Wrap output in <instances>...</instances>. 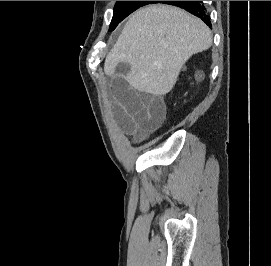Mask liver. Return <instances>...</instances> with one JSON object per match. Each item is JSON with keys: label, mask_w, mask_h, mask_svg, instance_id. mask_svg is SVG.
Segmentation results:
<instances>
[{"label": "liver", "mask_w": 271, "mask_h": 266, "mask_svg": "<svg viewBox=\"0 0 271 266\" xmlns=\"http://www.w3.org/2000/svg\"><path fill=\"white\" fill-rule=\"evenodd\" d=\"M211 44V31L199 18L173 6L150 5L126 22L106 57L104 71L115 77L116 62H131L130 70L122 75L130 86L140 92L166 95L185 62Z\"/></svg>", "instance_id": "liver-1"}]
</instances>
